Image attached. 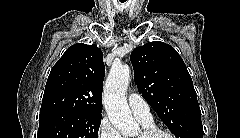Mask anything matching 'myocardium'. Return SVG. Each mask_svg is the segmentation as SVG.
Returning <instances> with one entry per match:
<instances>
[{
	"mask_svg": "<svg viewBox=\"0 0 240 138\" xmlns=\"http://www.w3.org/2000/svg\"><path fill=\"white\" fill-rule=\"evenodd\" d=\"M157 135H161L165 138H171L169 132L155 125L143 127L140 131L139 138H154Z\"/></svg>",
	"mask_w": 240,
	"mask_h": 138,
	"instance_id": "myocardium-1",
	"label": "myocardium"
}]
</instances>
